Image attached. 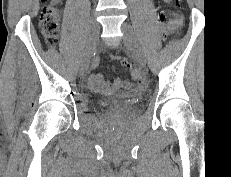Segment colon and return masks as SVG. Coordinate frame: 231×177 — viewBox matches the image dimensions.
<instances>
[{"label":"colon","instance_id":"colon-1","mask_svg":"<svg viewBox=\"0 0 231 177\" xmlns=\"http://www.w3.org/2000/svg\"><path fill=\"white\" fill-rule=\"evenodd\" d=\"M168 1L174 10H178L180 7V0H166ZM44 7L40 16L39 26L41 33L45 39L46 44L49 47H53L58 39L59 27H60V15L56 5L59 0H42ZM161 22L165 21V17L162 13L159 14ZM119 60L120 65L129 70L132 65L128 58L116 57Z\"/></svg>","mask_w":231,"mask_h":177}]
</instances>
